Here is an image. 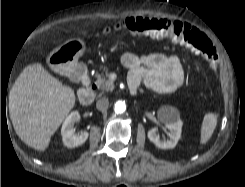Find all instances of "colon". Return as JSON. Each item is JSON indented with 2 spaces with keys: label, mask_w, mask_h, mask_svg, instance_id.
<instances>
[{
  "label": "colon",
  "mask_w": 245,
  "mask_h": 187,
  "mask_svg": "<svg viewBox=\"0 0 245 187\" xmlns=\"http://www.w3.org/2000/svg\"><path fill=\"white\" fill-rule=\"evenodd\" d=\"M127 31L134 35H149L169 39L201 54L215 68L218 62L211 40L198 28L187 23L164 18L126 17L104 29V33Z\"/></svg>",
  "instance_id": "1"
}]
</instances>
